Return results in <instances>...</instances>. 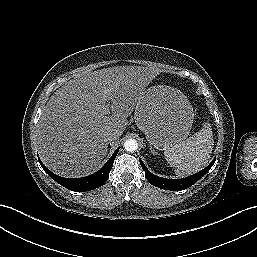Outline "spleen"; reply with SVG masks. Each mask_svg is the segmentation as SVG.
Instances as JSON below:
<instances>
[{"label": "spleen", "instance_id": "obj_1", "mask_svg": "<svg viewBox=\"0 0 257 257\" xmlns=\"http://www.w3.org/2000/svg\"><path fill=\"white\" fill-rule=\"evenodd\" d=\"M214 145L213 131L209 123L189 137L164 151L168 164L178 176L196 173L208 165Z\"/></svg>", "mask_w": 257, "mask_h": 257}]
</instances>
